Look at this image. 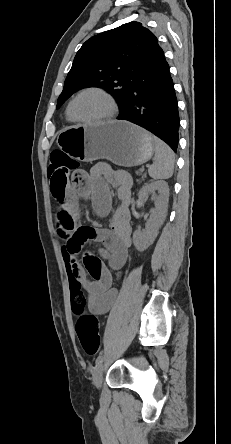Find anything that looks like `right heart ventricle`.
I'll return each instance as SVG.
<instances>
[{
	"label": "right heart ventricle",
	"instance_id": "e07e8e85",
	"mask_svg": "<svg viewBox=\"0 0 231 444\" xmlns=\"http://www.w3.org/2000/svg\"><path fill=\"white\" fill-rule=\"evenodd\" d=\"M66 117H67V119L69 120V121H74L72 118H71V116H70V114H69V111H68V107H67V109H66Z\"/></svg>",
	"mask_w": 231,
	"mask_h": 444
}]
</instances>
